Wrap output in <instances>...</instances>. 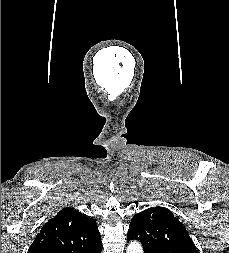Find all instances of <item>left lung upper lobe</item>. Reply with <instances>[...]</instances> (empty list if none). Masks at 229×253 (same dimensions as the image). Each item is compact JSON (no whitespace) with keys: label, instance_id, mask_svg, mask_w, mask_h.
<instances>
[{"label":"left lung upper lobe","instance_id":"left-lung-upper-lobe-1","mask_svg":"<svg viewBox=\"0 0 229 253\" xmlns=\"http://www.w3.org/2000/svg\"><path fill=\"white\" fill-rule=\"evenodd\" d=\"M128 240H139L144 253H197L185 227L164 207L148 208L133 216Z\"/></svg>","mask_w":229,"mask_h":253}]
</instances>
